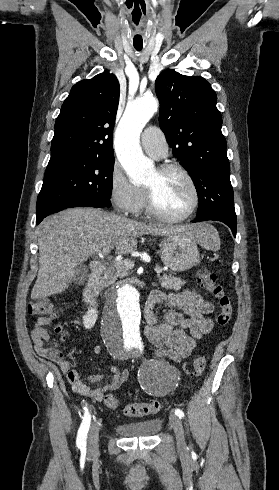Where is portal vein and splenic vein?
I'll return each instance as SVG.
<instances>
[{
	"label": "portal vein and splenic vein",
	"instance_id": "1",
	"mask_svg": "<svg viewBox=\"0 0 279 490\" xmlns=\"http://www.w3.org/2000/svg\"><path fill=\"white\" fill-rule=\"evenodd\" d=\"M99 256H102V254H99ZM119 264H133V262H130V260H124V262H114V266H119ZM155 272H157V274H160V272H162L161 268H155Z\"/></svg>",
	"mask_w": 279,
	"mask_h": 490
}]
</instances>
